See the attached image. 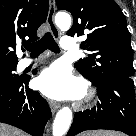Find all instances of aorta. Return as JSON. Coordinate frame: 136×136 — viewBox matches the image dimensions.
Listing matches in <instances>:
<instances>
[{
  "label": "aorta",
  "mask_w": 136,
  "mask_h": 136,
  "mask_svg": "<svg viewBox=\"0 0 136 136\" xmlns=\"http://www.w3.org/2000/svg\"><path fill=\"white\" fill-rule=\"evenodd\" d=\"M55 23L61 29H69L71 17L65 12H59L55 16ZM72 121V111L69 107H64L58 111L53 123V136H64L68 131Z\"/></svg>",
  "instance_id": "aorta-1"
}]
</instances>
